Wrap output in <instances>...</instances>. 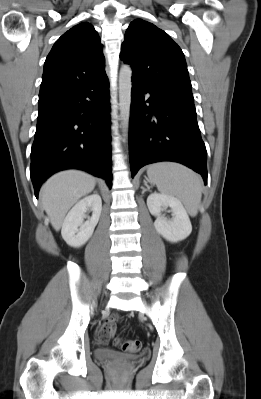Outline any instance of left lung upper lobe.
<instances>
[{"label":"left lung upper lobe","instance_id":"obj_1","mask_svg":"<svg viewBox=\"0 0 261 399\" xmlns=\"http://www.w3.org/2000/svg\"><path fill=\"white\" fill-rule=\"evenodd\" d=\"M120 58L131 65L133 78L151 87L192 93L182 50L152 23L141 19L131 22Z\"/></svg>","mask_w":261,"mask_h":399}]
</instances>
